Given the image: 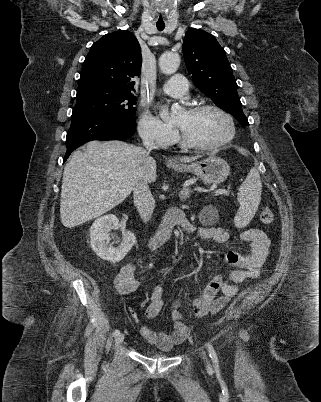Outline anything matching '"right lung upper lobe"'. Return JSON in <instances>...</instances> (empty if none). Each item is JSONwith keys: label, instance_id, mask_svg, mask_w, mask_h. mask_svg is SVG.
<instances>
[{"label": "right lung upper lobe", "instance_id": "cb5924a9", "mask_svg": "<svg viewBox=\"0 0 321 402\" xmlns=\"http://www.w3.org/2000/svg\"><path fill=\"white\" fill-rule=\"evenodd\" d=\"M141 65V48L132 33L119 30L106 34L91 46L79 86L97 85L133 93Z\"/></svg>", "mask_w": 321, "mask_h": 402}]
</instances>
